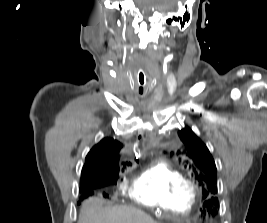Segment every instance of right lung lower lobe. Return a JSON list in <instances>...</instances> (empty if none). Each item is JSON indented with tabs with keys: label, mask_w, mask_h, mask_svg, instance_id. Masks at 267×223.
Segmentation results:
<instances>
[{
	"label": "right lung lower lobe",
	"mask_w": 267,
	"mask_h": 223,
	"mask_svg": "<svg viewBox=\"0 0 267 223\" xmlns=\"http://www.w3.org/2000/svg\"><path fill=\"white\" fill-rule=\"evenodd\" d=\"M105 184V180L97 177L81 179L80 191L82 192V194L93 192V189L104 187L106 186Z\"/></svg>",
	"instance_id": "obj_1"
}]
</instances>
